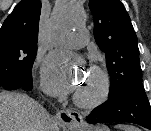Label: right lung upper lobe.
Instances as JSON below:
<instances>
[{"mask_svg": "<svg viewBox=\"0 0 151 131\" xmlns=\"http://www.w3.org/2000/svg\"><path fill=\"white\" fill-rule=\"evenodd\" d=\"M40 0H22L0 29V50L17 43L37 52Z\"/></svg>", "mask_w": 151, "mask_h": 131, "instance_id": "1", "label": "right lung upper lobe"}]
</instances>
